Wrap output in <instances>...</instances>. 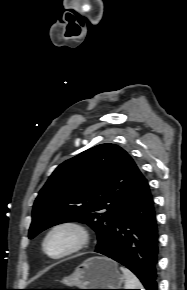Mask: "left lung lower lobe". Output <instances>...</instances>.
<instances>
[{
	"label": "left lung lower lobe",
	"mask_w": 187,
	"mask_h": 290,
	"mask_svg": "<svg viewBox=\"0 0 187 290\" xmlns=\"http://www.w3.org/2000/svg\"><path fill=\"white\" fill-rule=\"evenodd\" d=\"M95 252L126 266L146 290H157L158 230L146 179L124 200L105 242Z\"/></svg>",
	"instance_id": "1"
}]
</instances>
